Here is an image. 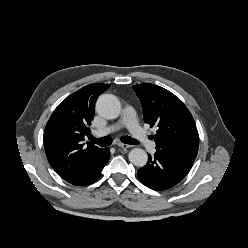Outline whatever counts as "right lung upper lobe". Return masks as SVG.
I'll return each mask as SVG.
<instances>
[{
  "label": "right lung upper lobe",
  "instance_id": "1",
  "mask_svg": "<svg viewBox=\"0 0 248 248\" xmlns=\"http://www.w3.org/2000/svg\"><path fill=\"white\" fill-rule=\"evenodd\" d=\"M109 84L87 85L62 101L44 131V148L53 169L66 181L78 176L103 148L84 145L93 118L94 104Z\"/></svg>",
  "mask_w": 248,
  "mask_h": 248
}]
</instances>
